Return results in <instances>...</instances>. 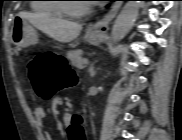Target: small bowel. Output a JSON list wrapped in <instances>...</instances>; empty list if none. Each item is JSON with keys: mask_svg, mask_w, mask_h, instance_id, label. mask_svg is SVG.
I'll return each mask as SVG.
<instances>
[{"mask_svg": "<svg viewBox=\"0 0 182 140\" xmlns=\"http://www.w3.org/2000/svg\"><path fill=\"white\" fill-rule=\"evenodd\" d=\"M33 113H34V117H35L36 121L43 127V122L46 118L45 109L42 106L37 105V106H35ZM69 119H70L69 116H65L64 117L65 123L68 124ZM44 138H45V140H53L52 135L46 130L44 132Z\"/></svg>", "mask_w": 182, "mask_h": 140, "instance_id": "obj_1", "label": "small bowel"}]
</instances>
